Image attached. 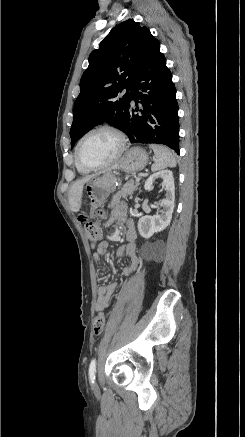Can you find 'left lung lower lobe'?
I'll return each mask as SVG.
<instances>
[{"label": "left lung lower lobe", "instance_id": "0a47b994", "mask_svg": "<svg viewBox=\"0 0 245 437\" xmlns=\"http://www.w3.org/2000/svg\"><path fill=\"white\" fill-rule=\"evenodd\" d=\"M143 106L130 107L125 133L131 143L163 144L179 154V118L176 89L160 44L154 47L142 65L130 90V101Z\"/></svg>", "mask_w": 245, "mask_h": 437}]
</instances>
